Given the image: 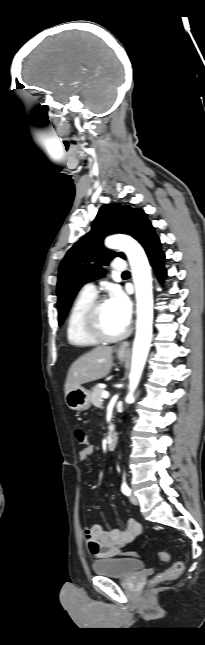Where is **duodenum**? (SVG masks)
<instances>
[{
	"instance_id": "obj_1",
	"label": "duodenum",
	"mask_w": 205,
	"mask_h": 645,
	"mask_svg": "<svg viewBox=\"0 0 205 645\" xmlns=\"http://www.w3.org/2000/svg\"><path fill=\"white\" fill-rule=\"evenodd\" d=\"M117 443V434L115 432H111L108 437H107V449L108 450H113L116 446Z\"/></svg>"
}]
</instances>
